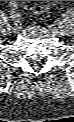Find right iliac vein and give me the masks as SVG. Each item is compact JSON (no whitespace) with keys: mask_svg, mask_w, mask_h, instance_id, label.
<instances>
[{"mask_svg":"<svg viewBox=\"0 0 74 122\" xmlns=\"http://www.w3.org/2000/svg\"><path fill=\"white\" fill-rule=\"evenodd\" d=\"M15 25L13 26V31L14 32H16V31H18L19 30V25H18V23L16 22V23H14Z\"/></svg>","mask_w":74,"mask_h":122,"instance_id":"right-iliac-vein-1","label":"right iliac vein"}]
</instances>
